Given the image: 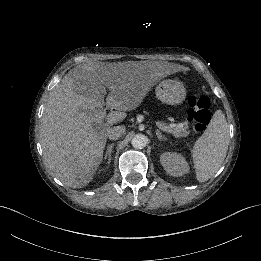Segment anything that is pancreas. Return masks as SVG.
<instances>
[{
	"label": "pancreas",
	"instance_id": "cf45deb5",
	"mask_svg": "<svg viewBox=\"0 0 261 261\" xmlns=\"http://www.w3.org/2000/svg\"><path fill=\"white\" fill-rule=\"evenodd\" d=\"M190 130H189V123L188 121H185L182 127H176L172 128L171 134L174 135L176 138H184L188 137L190 135Z\"/></svg>",
	"mask_w": 261,
	"mask_h": 261
}]
</instances>
